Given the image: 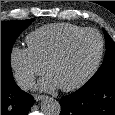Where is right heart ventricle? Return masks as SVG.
<instances>
[{
    "label": "right heart ventricle",
    "instance_id": "obj_1",
    "mask_svg": "<svg viewBox=\"0 0 115 115\" xmlns=\"http://www.w3.org/2000/svg\"><path fill=\"white\" fill-rule=\"evenodd\" d=\"M84 28L70 23H52L41 26L26 36L28 49L43 66L51 55L71 35Z\"/></svg>",
    "mask_w": 115,
    "mask_h": 115
}]
</instances>
